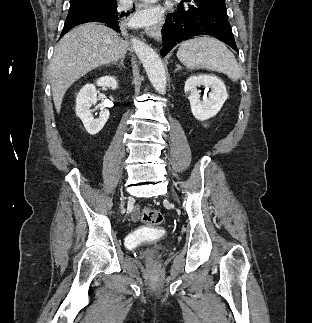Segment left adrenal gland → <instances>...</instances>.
<instances>
[{
	"label": "left adrenal gland",
	"mask_w": 312,
	"mask_h": 323,
	"mask_svg": "<svg viewBox=\"0 0 312 323\" xmlns=\"http://www.w3.org/2000/svg\"><path fill=\"white\" fill-rule=\"evenodd\" d=\"M177 68L175 70V72H177V70H181V66H179V64H176Z\"/></svg>",
	"instance_id": "left-adrenal-gland-1"
}]
</instances>
